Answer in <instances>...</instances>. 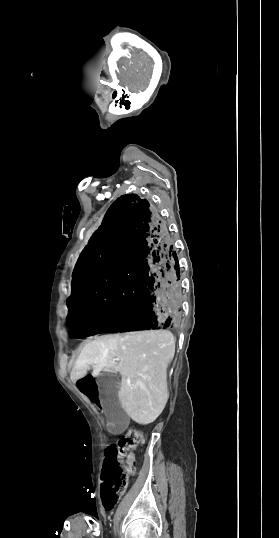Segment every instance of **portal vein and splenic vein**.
<instances>
[{
  "mask_svg": "<svg viewBox=\"0 0 279 538\" xmlns=\"http://www.w3.org/2000/svg\"><path fill=\"white\" fill-rule=\"evenodd\" d=\"M115 360H119V358H115Z\"/></svg>",
  "mask_w": 279,
  "mask_h": 538,
  "instance_id": "obj_1",
  "label": "portal vein and splenic vein"
}]
</instances>
